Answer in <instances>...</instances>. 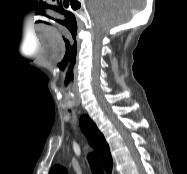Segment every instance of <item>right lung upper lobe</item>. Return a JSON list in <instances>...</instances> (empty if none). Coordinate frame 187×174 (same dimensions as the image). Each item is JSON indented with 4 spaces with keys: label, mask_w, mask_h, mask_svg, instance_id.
<instances>
[{
    "label": "right lung upper lobe",
    "mask_w": 187,
    "mask_h": 174,
    "mask_svg": "<svg viewBox=\"0 0 187 174\" xmlns=\"http://www.w3.org/2000/svg\"><path fill=\"white\" fill-rule=\"evenodd\" d=\"M81 128L83 133L88 138L90 144L93 146L98 156L100 157L105 171L107 173H111L113 162H112L109 146L105 141L104 136L102 135L101 132H99L96 125L91 121H89V124L87 125L81 123ZM50 174H67V171L63 167L55 166L51 170Z\"/></svg>",
    "instance_id": "1"
}]
</instances>
